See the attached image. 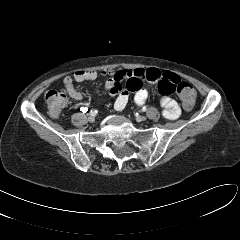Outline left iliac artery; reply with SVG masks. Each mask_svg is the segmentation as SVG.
<instances>
[{
  "label": "left iliac artery",
  "instance_id": "obj_1",
  "mask_svg": "<svg viewBox=\"0 0 240 240\" xmlns=\"http://www.w3.org/2000/svg\"><path fill=\"white\" fill-rule=\"evenodd\" d=\"M146 110H147V108H146V107H143V108H142V111H143V112H145Z\"/></svg>",
  "mask_w": 240,
  "mask_h": 240
}]
</instances>
